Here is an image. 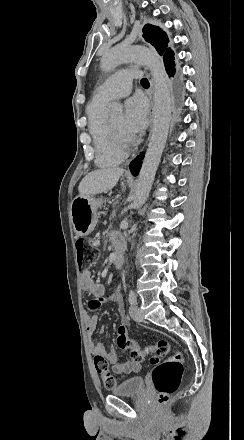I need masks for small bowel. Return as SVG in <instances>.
Here are the masks:
<instances>
[{"mask_svg":"<svg viewBox=\"0 0 244 440\" xmlns=\"http://www.w3.org/2000/svg\"><path fill=\"white\" fill-rule=\"evenodd\" d=\"M81 287L87 291L93 299L89 302V307L92 309H97L105 301H111L119 305L122 309L123 298L118 289H115L111 295L108 297L104 296L105 289L104 286L93 279L92 272L90 270L82 271L80 275ZM98 316L92 315L88 316L86 319L87 333L91 336L97 329ZM121 322H125L126 330L129 333L130 327L127 317L122 314ZM104 328H100V332L103 333ZM118 339V336H117ZM89 348L91 353H106L107 361L111 364L112 369L117 374H129L132 372H138L141 370V363H134L133 359L125 360L120 358L113 349L108 350L105 345L101 342H90ZM124 349V348H121Z\"/></svg>","mask_w":244,"mask_h":440,"instance_id":"1","label":"small bowel"}]
</instances>
